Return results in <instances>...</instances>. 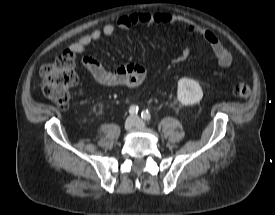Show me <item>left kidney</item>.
Here are the masks:
<instances>
[{"label": "left kidney", "mask_w": 275, "mask_h": 215, "mask_svg": "<svg viewBox=\"0 0 275 215\" xmlns=\"http://www.w3.org/2000/svg\"><path fill=\"white\" fill-rule=\"evenodd\" d=\"M177 97L183 105H194L202 99L203 91L197 81L184 77L178 81Z\"/></svg>", "instance_id": "obj_1"}]
</instances>
